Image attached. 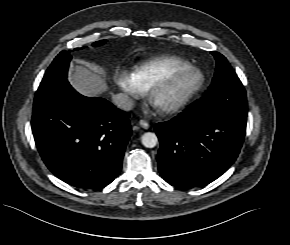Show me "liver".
<instances>
[{"label": "liver", "mask_w": 290, "mask_h": 245, "mask_svg": "<svg viewBox=\"0 0 290 245\" xmlns=\"http://www.w3.org/2000/svg\"><path fill=\"white\" fill-rule=\"evenodd\" d=\"M69 81L82 95L98 96L106 91L107 84L102 75L92 67L75 65L69 73Z\"/></svg>", "instance_id": "obj_1"}]
</instances>
